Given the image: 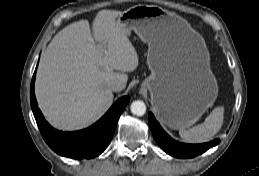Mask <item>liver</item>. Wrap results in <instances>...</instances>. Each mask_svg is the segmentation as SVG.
<instances>
[{"label":"liver","instance_id":"1","mask_svg":"<svg viewBox=\"0 0 259 176\" xmlns=\"http://www.w3.org/2000/svg\"><path fill=\"white\" fill-rule=\"evenodd\" d=\"M101 10L88 20L59 31L42 54L35 95L46 120L61 130H78L97 121L111 106L112 82L126 86L138 55L124 28L122 14Z\"/></svg>","mask_w":259,"mask_h":176}]
</instances>
